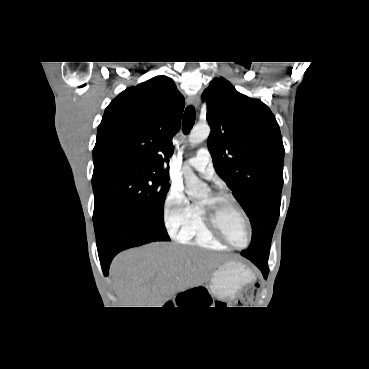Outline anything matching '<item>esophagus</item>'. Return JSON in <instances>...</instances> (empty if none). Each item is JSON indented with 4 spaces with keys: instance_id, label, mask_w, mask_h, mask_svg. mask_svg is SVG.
Masks as SVG:
<instances>
[{
    "instance_id": "obj_1",
    "label": "esophagus",
    "mask_w": 369,
    "mask_h": 369,
    "mask_svg": "<svg viewBox=\"0 0 369 369\" xmlns=\"http://www.w3.org/2000/svg\"><path fill=\"white\" fill-rule=\"evenodd\" d=\"M187 103H188L189 105L194 106L195 108H198V107H199V104H200V97H199V95H193V96H190V97L187 99Z\"/></svg>"
}]
</instances>
